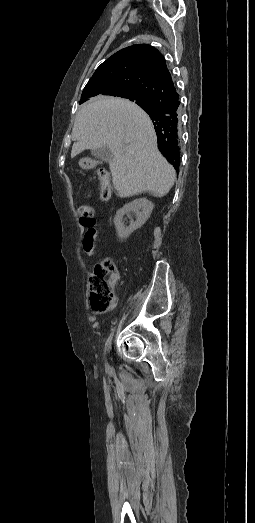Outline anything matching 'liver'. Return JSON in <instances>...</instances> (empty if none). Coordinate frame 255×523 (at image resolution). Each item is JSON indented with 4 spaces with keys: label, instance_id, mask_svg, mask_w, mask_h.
<instances>
[{
    "label": "liver",
    "instance_id": "liver-1",
    "mask_svg": "<svg viewBox=\"0 0 255 523\" xmlns=\"http://www.w3.org/2000/svg\"><path fill=\"white\" fill-rule=\"evenodd\" d=\"M71 158L84 150L108 146L110 172L120 198L153 192L162 198L171 190L175 170L157 148L153 124L139 106L121 98L90 100L81 106L72 128Z\"/></svg>",
    "mask_w": 255,
    "mask_h": 523
}]
</instances>
